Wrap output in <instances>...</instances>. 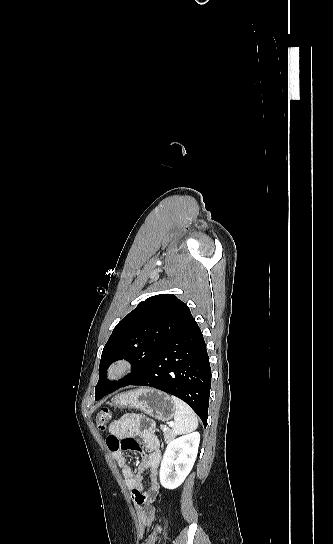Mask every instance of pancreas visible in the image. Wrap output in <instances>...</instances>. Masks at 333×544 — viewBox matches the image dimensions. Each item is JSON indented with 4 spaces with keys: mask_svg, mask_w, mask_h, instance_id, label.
Wrapping results in <instances>:
<instances>
[{
    "mask_svg": "<svg viewBox=\"0 0 333 544\" xmlns=\"http://www.w3.org/2000/svg\"><path fill=\"white\" fill-rule=\"evenodd\" d=\"M163 434L166 442L170 441L173 438V433L171 430H166Z\"/></svg>",
    "mask_w": 333,
    "mask_h": 544,
    "instance_id": "1",
    "label": "pancreas"
}]
</instances>
